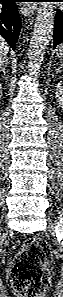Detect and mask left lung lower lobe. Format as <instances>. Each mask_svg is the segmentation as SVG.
Here are the masks:
<instances>
[{
  "instance_id": "left-lung-lower-lobe-1",
  "label": "left lung lower lobe",
  "mask_w": 63,
  "mask_h": 297,
  "mask_svg": "<svg viewBox=\"0 0 63 297\" xmlns=\"http://www.w3.org/2000/svg\"><path fill=\"white\" fill-rule=\"evenodd\" d=\"M63 2V0H57ZM63 42V6L57 9L54 27V47Z\"/></svg>"
}]
</instances>
